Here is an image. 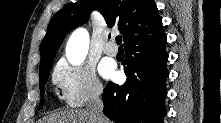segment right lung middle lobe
Segmentation results:
<instances>
[{
	"mask_svg": "<svg viewBox=\"0 0 221 123\" xmlns=\"http://www.w3.org/2000/svg\"><path fill=\"white\" fill-rule=\"evenodd\" d=\"M52 63L51 62L48 66H46L44 69L40 70V90L42 95L45 93V83L48 79L49 73H50V69L52 67ZM41 101H43V96L41 98Z\"/></svg>",
	"mask_w": 221,
	"mask_h": 123,
	"instance_id": "obj_1",
	"label": "right lung middle lobe"
}]
</instances>
